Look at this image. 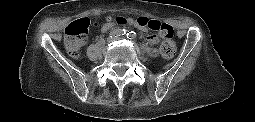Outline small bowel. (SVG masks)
Masks as SVG:
<instances>
[{
  "label": "small bowel",
  "mask_w": 255,
  "mask_h": 122,
  "mask_svg": "<svg viewBox=\"0 0 255 122\" xmlns=\"http://www.w3.org/2000/svg\"><path fill=\"white\" fill-rule=\"evenodd\" d=\"M116 24L115 21H107L106 23H104V25L101 27V32L105 33L107 31H109L114 25ZM130 26H136L134 19L130 18V23L128 24ZM147 42L150 45H155L158 42V37L156 35H149L147 37Z\"/></svg>",
  "instance_id": "obj_1"
}]
</instances>
